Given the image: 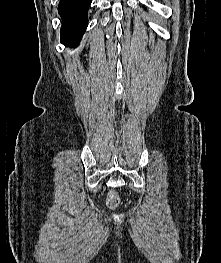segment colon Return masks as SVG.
<instances>
[{"instance_id":"obj_1","label":"colon","mask_w":221,"mask_h":263,"mask_svg":"<svg viewBox=\"0 0 221 263\" xmlns=\"http://www.w3.org/2000/svg\"><path fill=\"white\" fill-rule=\"evenodd\" d=\"M120 199L115 191H110L107 197V205L110 209H115L119 206Z\"/></svg>"}]
</instances>
